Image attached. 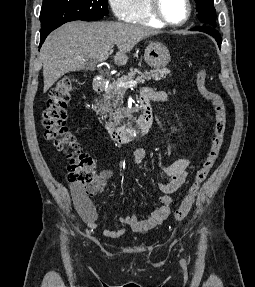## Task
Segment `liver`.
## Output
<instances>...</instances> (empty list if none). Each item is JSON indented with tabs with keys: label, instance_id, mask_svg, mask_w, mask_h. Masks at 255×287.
<instances>
[{
	"label": "liver",
	"instance_id": "liver-1",
	"mask_svg": "<svg viewBox=\"0 0 255 287\" xmlns=\"http://www.w3.org/2000/svg\"><path fill=\"white\" fill-rule=\"evenodd\" d=\"M160 34L157 30L138 26V24H121V22H68L46 38L41 50L40 60L43 64V94L67 72H77L85 68L87 60H95L104 52H111L118 46L114 56L117 66H125L127 56L134 46Z\"/></svg>",
	"mask_w": 255,
	"mask_h": 287
}]
</instances>
